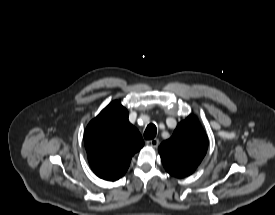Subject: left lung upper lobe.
<instances>
[{
	"label": "left lung upper lobe",
	"instance_id": "1",
	"mask_svg": "<svg viewBox=\"0 0 275 215\" xmlns=\"http://www.w3.org/2000/svg\"><path fill=\"white\" fill-rule=\"evenodd\" d=\"M208 138L197 117L188 116L180 122L172 137L161 143L158 150L165 170L183 178L192 174L204 158Z\"/></svg>",
	"mask_w": 275,
	"mask_h": 215
}]
</instances>
